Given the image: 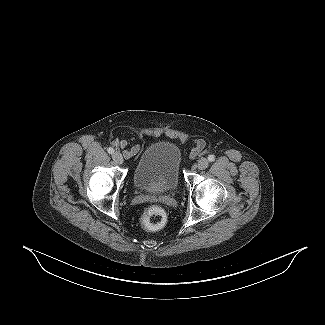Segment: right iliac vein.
Listing matches in <instances>:
<instances>
[{"label":"right iliac vein","mask_w":325,"mask_h":325,"mask_svg":"<svg viewBox=\"0 0 325 325\" xmlns=\"http://www.w3.org/2000/svg\"><path fill=\"white\" fill-rule=\"evenodd\" d=\"M112 158L119 165H121L123 163V156L118 151H116V152L113 153Z\"/></svg>","instance_id":"1"}]
</instances>
